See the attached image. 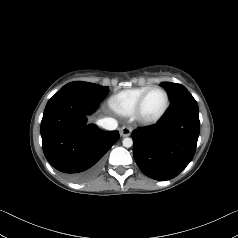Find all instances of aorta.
I'll list each match as a JSON object with an SVG mask.
<instances>
[{"instance_id": "1", "label": "aorta", "mask_w": 238, "mask_h": 238, "mask_svg": "<svg viewBox=\"0 0 238 238\" xmlns=\"http://www.w3.org/2000/svg\"><path fill=\"white\" fill-rule=\"evenodd\" d=\"M122 143L124 147L129 148L133 145V140L131 138H124Z\"/></svg>"}]
</instances>
